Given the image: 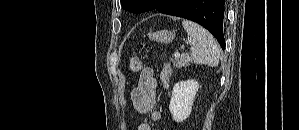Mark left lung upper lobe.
<instances>
[{"instance_id":"5c2ea615","label":"left lung upper lobe","mask_w":299,"mask_h":130,"mask_svg":"<svg viewBox=\"0 0 299 130\" xmlns=\"http://www.w3.org/2000/svg\"><path fill=\"white\" fill-rule=\"evenodd\" d=\"M158 0H121L123 9L135 13L146 11V8L153 5Z\"/></svg>"}]
</instances>
